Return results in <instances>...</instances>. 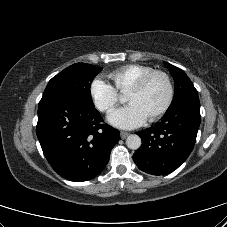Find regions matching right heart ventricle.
Wrapping results in <instances>:
<instances>
[{
    "label": "right heart ventricle",
    "mask_w": 227,
    "mask_h": 227,
    "mask_svg": "<svg viewBox=\"0 0 227 227\" xmlns=\"http://www.w3.org/2000/svg\"><path fill=\"white\" fill-rule=\"evenodd\" d=\"M153 70L147 65L129 64L112 71L109 77L119 93H126L138 79Z\"/></svg>",
    "instance_id": "1"
}]
</instances>
